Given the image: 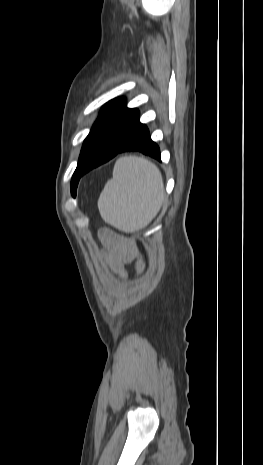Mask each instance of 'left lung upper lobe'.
Wrapping results in <instances>:
<instances>
[{
    "instance_id": "1",
    "label": "left lung upper lobe",
    "mask_w": 263,
    "mask_h": 465,
    "mask_svg": "<svg viewBox=\"0 0 263 465\" xmlns=\"http://www.w3.org/2000/svg\"><path fill=\"white\" fill-rule=\"evenodd\" d=\"M125 99L117 98L108 102L101 110L100 115L92 127L89 135L86 137L78 160L77 168L73 174L71 181V193L73 196L76 194V188L80 177L82 176L81 170L87 162L92 150L97 144L99 138L107 127L117 118V116L125 110Z\"/></svg>"
}]
</instances>
